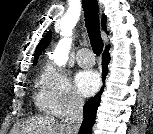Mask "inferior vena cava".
I'll use <instances>...</instances> for the list:
<instances>
[{
  "instance_id": "inferior-vena-cava-1",
  "label": "inferior vena cava",
  "mask_w": 153,
  "mask_h": 134,
  "mask_svg": "<svg viewBox=\"0 0 153 134\" xmlns=\"http://www.w3.org/2000/svg\"><path fill=\"white\" fill-rule=\"evenodd\" d=\"M84 101L81 98H74L68 108L63 123L64 134H78L83 120Z\"/></svg>"
}]
</instances>
